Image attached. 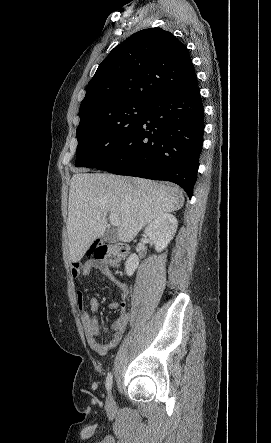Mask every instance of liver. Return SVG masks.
I'll use <instances>...</instances> for the list:
<instances>
[{
    "label": "liver",
    "instance_id": "1",
    "mask_svg": "<svg viewBox=\"0 0 271 443\" xmlns=\"http://www.w3.org/2000/svg\"><path fill=\"white\" fill-rule=\"evenodd\" d=\"M183 204L179 188L153 180L77 172L70 180L68 200L69 257L82 259L91 243L104 235L110 214L120 222L119 241H132L144 225Z\"/></svg>",
    "mask_w": 271,
    "mask_h": 443
}]
</instances>
